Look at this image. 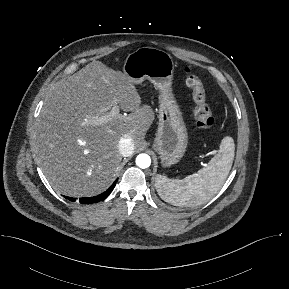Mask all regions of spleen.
<instances>
[{"label": "spleen", "mask_w": 289, "mask_h": 289, "mask_svg": "<svg viewBox=\"0 0 289 289\" xmlns=\"http://www.w3.org/2000/svg\"><path fill=\"white\" fill-rule=\"evenodd\" d=\"M234 140L222 139L218 153L206 167L182 180L156 175L155 187L166 202L180 207H195L209 201L224 184L233 164Z\"/></svg>", "instance_id": "obj_1"}]
</instances>
